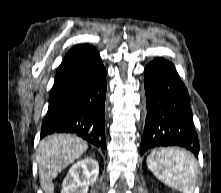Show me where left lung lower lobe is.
Segmentation results:
<instances>
[{"instance_id":"1","label":"left lung lower lobe","mask_w":221,"mask_h":193,"mask_svg":"<svg viewBox=\"0 0 221 193\" xmlns=\"http://www.w3.org/2000/svg\"><path fill=\"white\" fill-rule=\"evenodd\" d=\"M144 75L149 113L141 139V155L154 147L181 146L198 156L199 140L193 124L190 98L174 65L158 58L145 68ZM164 107L175 111L174 126L164 121Z\"/></svg>"}]
</instances>
